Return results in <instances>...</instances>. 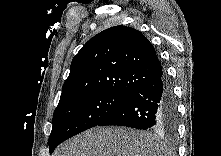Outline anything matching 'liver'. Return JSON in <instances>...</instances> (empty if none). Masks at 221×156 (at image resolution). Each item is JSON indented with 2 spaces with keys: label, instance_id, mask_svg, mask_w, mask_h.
<instances>
[{
  "label": "liver",
  "instance_id": "obj_1",
  "mask_svg": "<svg viewBox=\"0 0 221 156\" xmlns=\"http://www.w3.org/2000/svg\"><path fill=\"white\" fill-rule=\"evenodd\" d=\"M160 138L126 127H95L60 145L53 156H163Z\"/></svg>",
  "mask_w": 221,
  "mask_h": 156
}]
</instances>
